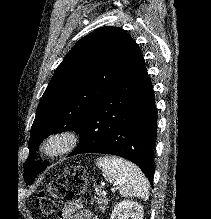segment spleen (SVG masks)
<instances>
[{
    "label": "spleen",
    "mask_w": 211,
    "mask_h": 219,
    "mask_svg": "<svg viewBox=\"0 0 211 219\" xmlns=\"http://www.w3.org/2000/svg\"><path fill=\"white\" fill-rule=\"evenodd\" d=\"M105 179L124 197L149 198V184L141 170L133 163L114 156L100 157L95 161Z\"/></svg>",
    "instance_id": "spleen-1"
}]
</instances>
